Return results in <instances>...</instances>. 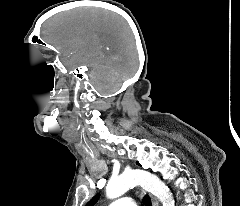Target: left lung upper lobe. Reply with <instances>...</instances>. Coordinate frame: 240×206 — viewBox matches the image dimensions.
<instances>
[{
  "label": "left lung upper lobe",
  "instance_id": "5c2ea615",
  "mask_svg": "<svg viewBox=\"0 0 240 206\" xmlns=\"http://www.w3.org/2000/svg\"><path fill=\"white\" fill-rule=\"evenodd\" d=\"M139 165V163H137ZM99 195H95L87 204L86 206H94L95 203L98 201Z\"/></svg>",
  "mask_w": 240,
  "mask_h": 206
}]
</instances>
